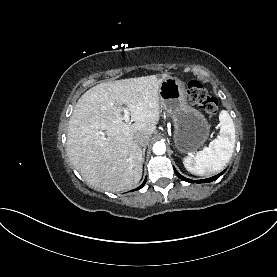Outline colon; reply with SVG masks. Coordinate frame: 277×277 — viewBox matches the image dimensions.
Wrapping results in <instances>:
<instances>
[{"instance_id":"colon-1","label":"colon","mask_w":277,"mask_h":277,"mask_svg":"<svg viewBox=\"0 0 277 277\" xmlns=\"http://www.w3.org/2000/svg\"><path fill=\"white\" fill-rule=\"evenodd\" d=\"M187 93L190 101L209 115L216 113L218 108L217 99L209 95L201 82L191 80L187 84Z\"/></svg>"}]
</instances>
